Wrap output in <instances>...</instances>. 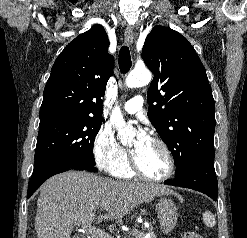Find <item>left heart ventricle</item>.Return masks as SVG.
Here are the masks:
<instances>
[{"label":"left heart ventricle","mask_w":247,"mask_h":238,"mask_svg":"<svg viewBox=\"0 0 247 238\" xmlns=\"http://www.w3.org/2000/svg\"><path fill=\"white\" fill-rule=\"evenodd\" d=\"M132 154L143 173L159 177L166 173L168 162L163 150L150 139L137 147L136 141L131 143Z\"/></svg>","instance_id":"left-heart-ventricle-1"}]
</instances>
